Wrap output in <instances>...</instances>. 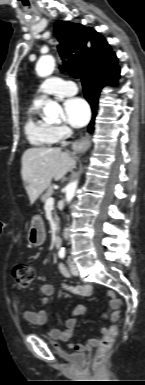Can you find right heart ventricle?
<instances>
[{"label":"right heart ventricle","mask_w":145,"mask_h":385,"mask_svg":"<svg viewBox=\"0 0 145 385\" xmlns=\"http://www.w3.org/2000/svg\"><path fill=\"white\" fill-rule=\"evenodd\" d=\"M41 103L34 102L28 109L24 131L34 146H49L57 142L54 127L39 117Z\"/></svg>","instance_id":"obj_1"}]
</instances>
